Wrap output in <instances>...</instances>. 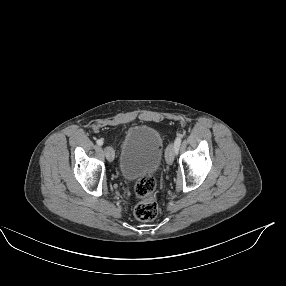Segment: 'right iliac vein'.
Masks as SVG:
<instances>
[{
  "label": "right iliac vein",
  "instance_id": "obj_1",
  "mask_svg": "<svg viewBox=\"0 0 286 286\" xmlns=\"http://www.w3.org/2000/svg\"><path fill=\"white\" fill-rule=\"evenodd\" d=\"M104 153L108 161L112 162L115 157L114 149L110 146L104 148Z\"/></svg>",
  "mask_w": 286,
  "mask_h": 286
}]
</instances>
